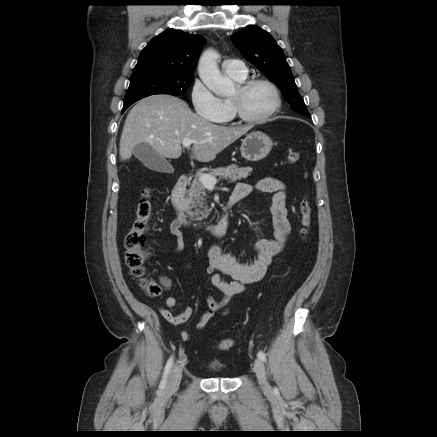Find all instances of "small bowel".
Segmentation results:
<instances>
[{
	"label": "small bowel",
	"instance_id": "obj_1",
	"mask_svg": "<svg viewBox=\"0 0 437 437\" xmlns=\"http://www.w3.org/2000/svg\"><path fill=\"white\" fill-rule=\"evenodd\" d=\"M255 189L273 194L270 211L274 226V238L258 240L254 245L255 256L245 261L232 254L222 252L218 246H212L209 249L206 272L210 277L211 285L219 290L223 297L216 300L214 297L208 296V310L197 323V329L199 330L204 329L218 311L223 310L224 315L228 314V304L231 299L244 292L246 285L263 278L273 257L283 249L286 237L290 232L285 184L279 179L267 177L259 180L255 185ZM252 190V185L238 183L232 195L237 197L239 201L247 197ZM181 226L177 218L170 224V233L176 238L174 252H180L184 248ZM223 276H228L231 280L226 281ZM162 284L166 289L170 287L168 279H163ZM165 304L166 307H160L159 312L171 324H183L194 314L192 307H187L183 312L174 314L172 309L176 305V299L172 296L166 298ZM180 336L183 341L189 339L187 331H182Z\"/></svg>",
	"mask_w": 437,
	"mask_h": 437
}]
</instances>
